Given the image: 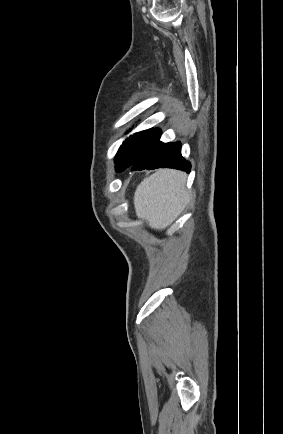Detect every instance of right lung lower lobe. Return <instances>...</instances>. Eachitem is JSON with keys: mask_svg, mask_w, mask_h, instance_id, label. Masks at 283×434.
Here are the masks:
<instances>
[{"mask_svg": "<svg viewBox=\"0 0 283 434\" xmlns=\"http://www.w3.org/2000/svg\"><path fill=\"white\" fill-rule=\"evenodd\" d=\"M160 167L190 172L191 164L182 157L179 142L162 143L157 141L132 165V170H150Z\"/></svg>", "mask_w": 283, "mask_h": 434, "instance_id": "1", "label": "right lung lower lobe"}]
</instances>
